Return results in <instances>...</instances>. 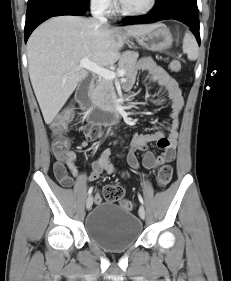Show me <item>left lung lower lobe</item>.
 <instances>
[{"label":"left lung lower lobe","instance_id":"obj_1","mask_svg":"<svg viewBox=\"0 0 231 281\" xmlns=\"http://www.w3.org/2000/svg\"><path fill=\"white\" fill-rule=\"evenodd\" d=\"M164 19H174L189 26L200 45L199 11L196 0H159L156 8L143 18L127 17L124 25L153 23Z\"/></svg>","mask_w":231,"mask_h":281}]
</instances>
